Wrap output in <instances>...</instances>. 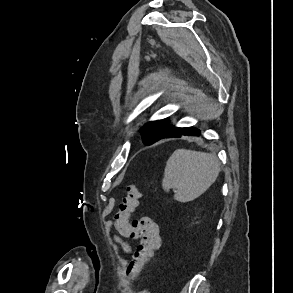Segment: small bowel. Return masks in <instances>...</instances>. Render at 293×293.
Returning a JSON list of instances; mask_svg holds the SVG:
<instances>
[{
	"instance_id": "obj_1",
	"label": "small bowel",
	"mask_w": 293,
	"mask_h": 293,
	"mask_svg": "<svg viewBox=\"0 0 293 293\" xmlns=\"http://www.w3.org/2000/svg\"><path fill=\"white\" fill-rule=\"evenodd\" d=\"M113 240L120 245V247L122 248V250L126 253H131L132 252V247L131 245L125 241L121 236L115 234L113 235Z\"/></svg>"
}]
</instances>
